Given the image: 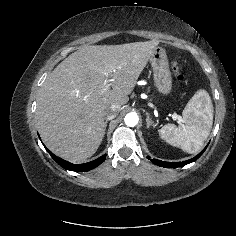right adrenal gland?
<instances>
[{"mask_svg":"<svg viewBox=\"0 0 236 236\" xmlns=\"http://www.w3.org/2000/svg\"><path fill=\"white\" fill-rule=\"evenodd\" d=\"M107 120L105 121V126H104V132H103V134H105V130H106V126H107Z\"/></svg>","mask_w":236,"mask_h":236,"instance_id":"right-adrenal-gland-1","label":"right adrenal gland"}]
</instances>
